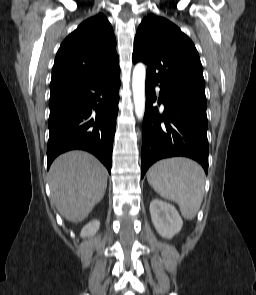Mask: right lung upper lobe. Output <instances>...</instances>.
Instances as JSON below:
<instances>
[{
	"instance_id": "cb5924a9",
	"label": "right lung upper lobe",
	"mask_w": 256,
	"mask_h": 295,
	"mask_svg": "<svg viewBox=\"0 0 256 295\" xmlns=\"http://www.w3.org/2000/svg\"><path fill=\"white\" fill-rule=\"evenodd\" d=\"M118 69L114 32L107 18L100 13L82 22L62 42L52 68L50 90Z\"/></svg>"
}]
</instances>
